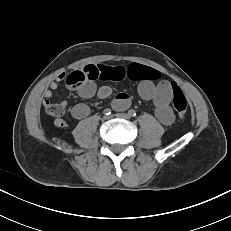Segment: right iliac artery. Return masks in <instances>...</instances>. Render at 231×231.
<instances>
[{
    "label": "right iliac artery",
    "mask_w": 231,
    "mask_h": 231,
    "mask_svg": "<svg viewBox=\"0 0 231 231\" xmlns=\"http://www.w3.org/2000/svg\"><path fill=\"white\" fill-rule=\"evenodd\" d=\"M103 113H104L105 115H110V114H111V110H110L109 108H106V109L103 111Z\"/></svg>",
    "instance_id": "1"
}]
</instances>
